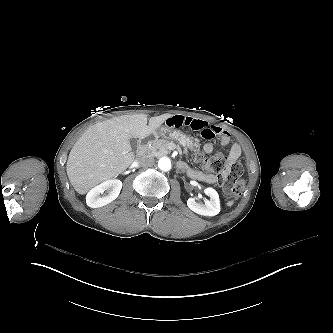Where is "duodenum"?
<instances>
[{
  "label": "duodenum",
  "instance_id": "1",
  "mask_svg": "<svg viewBox=\"0 0 333 333\" xmlns=\"http://www.w3.org/2000/svg\"><path fill=\"white\" fill-rule=\"evenodd\" d=\"M145 146H146L145 143H141V145H140V152L144 150Z\"/></svg>",
  "mask_w": 333,
  "mask_h": 333
}]
</instances>
